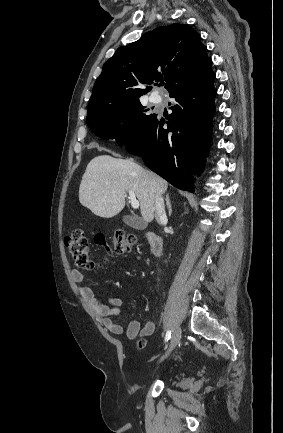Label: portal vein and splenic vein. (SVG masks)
Here are the masks:
<instances>
[{
    "instance_id": "portal-vein-and-splenic-vein-1",
    "label": "portal vein and splenic vein",
    "mask_w": 283,
    "mask_h": 433,
    "mask_svg": "<svg viewBox=\"0 0 283 433\" xmlns=\"http://www.w3.org/2000/svg\"><path fill=\"white\" fill-rule=\"evenodd\" d=\"M128 192L131 206H133V208H139V200H137L134 190H128Z\"/></svg>"
}]
</instances>
